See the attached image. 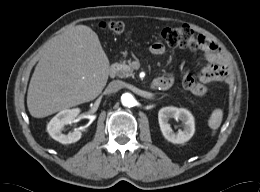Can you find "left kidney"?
Here are the masks:
<instances>
[{
  "instance_id": "1",
  "label": "left kidney",
  "mask_w": 260,
  "mask_h": 192,
  "mask_svg": "<svg viewBox=\"0 0 260 192\" xmlns=\"http://www.w3.org/2000/svg\"><path fill=\"white\" fill-rule=\"evenodd\" d=\"M174 118L183 123V130H179L177 134L170 127L169 120ZM158 121L163 136L174 144H182L191 139L195 132L194 117L184 108L163 107L159 110Z\"/></svg>"
}]
</instances>
